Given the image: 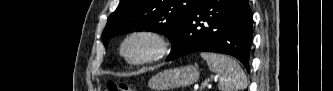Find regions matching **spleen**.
Returning a JSON list of instances; mask_svg holds the SVG:
<instances>
[{
	"label": "spleen",
	"instance_id": "1",
	"mask_svg": "<svg viewBox=\"0 0 333 91\" xmlns=\"http://www.w3.org/2000/svg\"><path fill=\"white\" fill-rule=\"evenodd\" d=\"M211 72L218 76L220 91H243L247 87V78L240 65L232 58L216 53L201 52Z\"/></svg>",
	"mask_w": 333,
	"mask_h": 91
}]
</instances>
